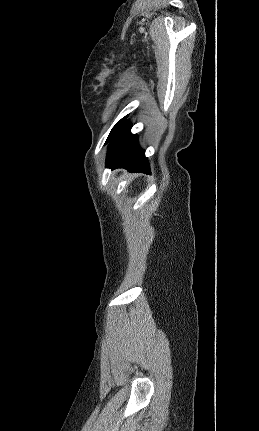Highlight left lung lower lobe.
Here are the masks:
<instances>
[{"label": "left lung lower lobe", "mask_w": 259, "mask_h": 431, "mask_svg": "<svg viewBox=\"0 0 259 431\" xmlns=\"http://www.w3.org/2000/svg\"><path fill=\"white\" fill-rule=\"evenodd\" d=\"M127 118V117H126ZM126 118L114 129L108 137L110 142L106 167L125 168L130 172L150 174L149 162L145 152L138 145V138L131 134V125Z\"/></svg>", "instance_id": "left-lung-lower-lobe-1"}]
</instances>
